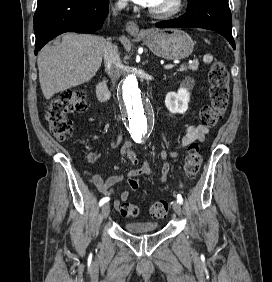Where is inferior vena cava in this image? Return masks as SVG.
<instances>
[{
	"label": "inferior vena cava",
	"instance_id": "1",
	"mask_svg": "<svg viewBox=\"0 0 272 282\" xmlns=\"http://www.w3.org/2000/svg\"><path fill=\"white\" fill-rule=\"evenodd\" d=\"M125 7V4L118 3L115 8H113V15H117V11L122 10ZM104 64L106 71L111 78L113 85L122 75V63L118 54V49L116 45H113L110 41L105 43L103 49Z\"/></svg>",
	"mask_w": 272,
	"mask_h": 282
}]
</instances>
